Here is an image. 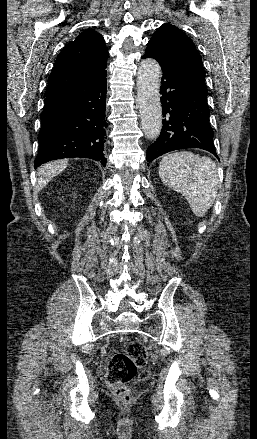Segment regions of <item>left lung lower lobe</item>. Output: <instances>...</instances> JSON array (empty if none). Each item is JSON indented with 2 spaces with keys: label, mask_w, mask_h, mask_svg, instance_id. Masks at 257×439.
I'll return each instance as SVG.
<instances>
[{
  "label": "left lung lower lobe",
  "mask_w": 257,
  "mask_h": 439,
  "mask_svg": "<svg viewBox=\"0 0 257 439\" xmlns=\"http://www.w3.org/2000/svg\"><path fill=\"white\" fill-rule=\"evenodd\" d=\"M142 58L156 59L163 72L160 94L165 119L160 136L147 149V161L186 148H200L218 158L209 124L207 89L185 70L164 60L153 46H147Z\"/></svg>",
  "instance_id": "left-lung-lower-lobe-1"
}]
</instances>
